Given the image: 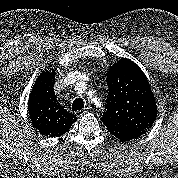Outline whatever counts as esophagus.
Segmentation results:
<instances>
[{"mask_svg": "<svg viewBox=\"0 0 178 178\" xmlns=\"http://www.w3.org/2000/svg\"><path fill=\"white\" fill-rule=\"evenodd\" d=\"M88 112H89V109H88V108H85V109H83V110L77 111V112H76V116H77V117H81V116H83L84 114H86V113H88Z\"/></svg>", "mask_w": 178, "mask_h": 178, "instance_id": "34e87169", "label": "esophagus"}]
</instances>
